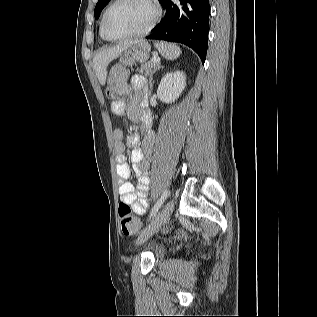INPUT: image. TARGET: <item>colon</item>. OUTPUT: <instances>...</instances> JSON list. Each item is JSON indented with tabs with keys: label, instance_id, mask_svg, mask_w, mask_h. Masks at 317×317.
I'll return each instance as SVG.
<instances>
[{
	"label": "colon",
	"instance_id": "5ec220e1",
	"mask_svg": "<svg viewBox=\"0 0 317 317\" xmlns=\"http://www.w3.org/2000/svg\"><path fill=\"white\" fill-rule=\"evenodd\" d=\"M129 92V85L127 81V70L122 65H114L108 75L106 93L107 96L113 100H119L125 97ZM119 217L121 230L125 235L136 233L141 223L133 216L131 207L121 202L119 204Z\"/></svg>",
	"mask_w": 317,
	"mask_h": 317
}]
</instances>
